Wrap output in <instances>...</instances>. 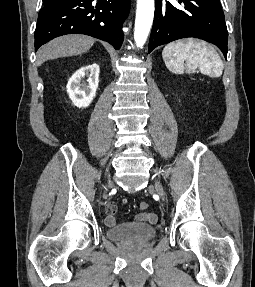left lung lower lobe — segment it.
<instances>
[{
    "mask_svg": "<svg viewBox=\"0 0 255 287\" xmlns=\"http://www.w3.org/2000/svg\"><path fill=\"white\" fill-rule=\"evenodd\" d=\"M156 0L148 53L155 47L185 38L215 44L227 59L228 32L219 0Z\"/></svg>",
    "mask_w": 255,
    "mask_h": 287,
    "instance_id": "1",
    "label": "left lung lower lobe"
}]
</instances>
